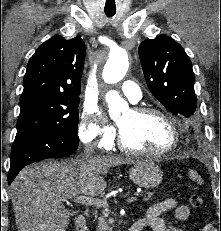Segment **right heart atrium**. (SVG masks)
<instances>
[{
    "label": "right heart atrium",
    "instance_id": "right-heart-atrium-1",
    "mask_svg": "<svg viewBox=\"0 0 221 231\" xmlns=\"http://www.w3.org/2000/svg\"><path fill=\"white\" fill-rule=\"evenodd\" d=\"M78 135L86 145L95 148H107L115 137V131L106 125L100 108L93 103H86L81 114Z\"/></svg>",
    "mask_w": 221,
    "mask_h": 231
}]
</instances>
